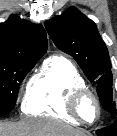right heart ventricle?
<instances>
[{"mask_svg":"<svg viewBox=\"0 0 117 136\" xmlns=\"http://www.w3.org/2000/svg\"><path fill=\"white\" fill-rule=\"evenodd\" d=\"M86 87L84 78L70 59L52 55L31 78L23 110L32 116H48L79 124L67 111V101L73 91Z\"/></svg>","mask_w":117,"mask_h":136,"instance_id":"e07e8e85","label":"right heart ventricle"}]
</instances>
